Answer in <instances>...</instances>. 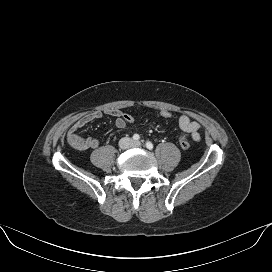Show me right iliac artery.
I'll return each mask as SVG.
<instances>
[{"instance_id": "right-iliac-artery-1", "label": "right iliac artery", "mask_w": 272, "mask_h": 272, "mask_svg": "<svg viewBox=\"0 0 272 272\" xmlns=\"http://www.w3.org/2000/svg\"><path fill=\"white\" fill-rule=\"evenodd\" d=\"M139 138H140V136H139L138 134H134V135H133V139H134V140H139Z\"/></svg>"}]
</instances>
